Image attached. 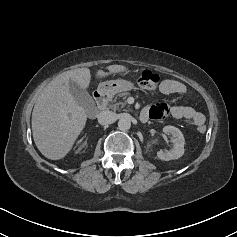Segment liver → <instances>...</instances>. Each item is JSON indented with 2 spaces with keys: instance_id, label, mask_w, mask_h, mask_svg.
I'll list each match as a JSON object with an SVG mask.
<instances>
[{
  "instance_id": "6515ba94",
  "label": "liver",
  "mask_w": 237,
  "mask_h": 237,
  "mask_svg": "<svg viewBox=\"0 0 237 237\" xmlns=\"http://www.w3.org/2000/svg\"><path fill=\"white\" fill-rule=\"evenodd\" d=\"M106 69L109 72L100 69L96 76L104 78L128 70L117 64L107 66ZM90 79L88 68L63 72L57 75L38 97L32 112V133L38 150L46 158H63L72 149L83 130L87 113L72 96L69 82L72 80L86 90Z\"/></svg>"
}]
</instances>
